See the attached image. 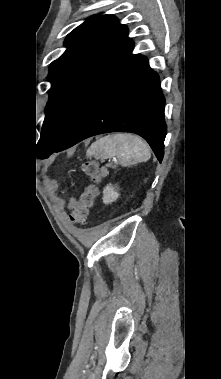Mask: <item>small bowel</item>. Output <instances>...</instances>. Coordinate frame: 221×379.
Here are the masks:
<instances>
[{
  "mask_svg": "<svg viewBox=\"0 0 221 379\" xmlns=\"http://www.w3.org/2000/svg\"><path fill=\"white\" fill-rule=\"evenodd\" d=\"M75 203H76V200L75 199H71L70 202H69L68 207L72 209L73 206L75 205Z\"/></svg>",
  "mask_w": 221,
  "mask_h": 379,
  "instance_id": "obj_1",
  "label": "small bowel"
}]
</instances>
